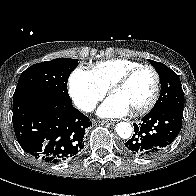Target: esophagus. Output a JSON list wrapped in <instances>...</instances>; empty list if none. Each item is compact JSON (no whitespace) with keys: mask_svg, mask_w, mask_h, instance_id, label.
Listing matches in <instances>:
<instances>
[{"mask_svg":"<svg viewBox=\"0 0 196 196\" xmlns=\"http://www.w3.org/2000/svg\"><path fill=\"white\" fill-rule=\"evenodd\" d=\"M103 124H113V121H102Z\"/></svg>","mask_w":196,"mask_h":196,"instance_id":"1","label":"esophagus"}]
</instances>
